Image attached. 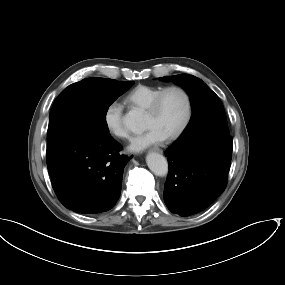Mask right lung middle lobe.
Instances as JSON below:
<instances>
[{"instance_id":"dd1d6c3e","label":"right lung middle lobe","mask_w":285,"mask_h":285,"mask_svg":"<svg viewBox=\"0 0 285 285\" xmlns=\"http://www.w3.org/2000/svg\"><path fill=\"white\" fill-rule=\"evenodd\" d=\"M133 84V81L93 77L69 85L56 98L50 111L48 147L81 129L108 133L106 113L109 106Z\"/></svg>"}]
</instances>
